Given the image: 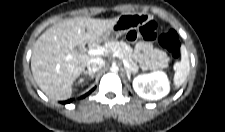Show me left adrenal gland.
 <instances>
[{
  "label": "left adrenal gland",
  "mask_w": 225,
  "mask_h": 132,
  "mask_svg": "<svg viewBox=\"0 0 225 132\" xmlns=\"http://www.w3.org/2000/svg\"><path fill=\"white\" fill-rule=\"evenodd\" d=\"M125 70H126L127 77H128V79L130 80V76H131L132 73L134 74V72L130 71V70L127 69V68H125Z\"/></svg>",
  "instance_id": "a2214340"
}]
</instances>
